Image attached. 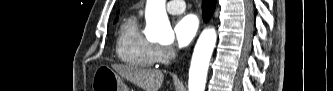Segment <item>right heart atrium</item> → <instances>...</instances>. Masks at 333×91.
<instances>
[{
    "label": "right heart atrium",
    "instance_id": "right-heart-atrium-1",
    "mask_svg": "<svg viewBox=\"0 0 333 91\" xmlns=\"http://www.w3.org/2000/svg\"><path fill=\"white\" fill-rule=\"evenodd\" d=\"M175 48L171 45L155 46L156 62L166 64L175 57Z\"/></svg>",
    "mask_w": 333,
    "mask_h": 91
}]
</instances>
